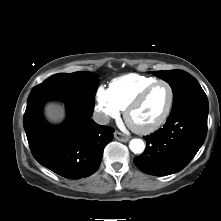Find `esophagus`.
<instances>
[{
    "label": "esophagus",
    "instance_id": "1",
    "mask_svg": "<svg viewBox=\"0 0 221 221\" xmlns=\"http://www.w3.org/2000/svg\"><path fill=\"white\" fill-rule=\"evenodd\" d=\"M114 137L116 140L121 141V142H127L129 140V137L119 131H116L114 133Z\"/></svg>",
    "mask_w": 221,
    "mask_h": 221
}]
</instances>
